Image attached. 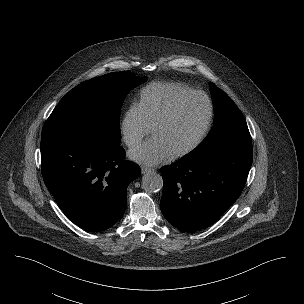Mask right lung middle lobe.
<instances>
[{
    "instance_id": "obj_1",
    "label": "right lung middle lobe",
    "mask_w": 304,
    "mask_h": 304,
    "mask_svg": "<svg viewBox=\"0 0 304 304\" xmlns=\"http://www.w3.org/2000/svg\"><path fill=\"white\" fill-rule=\"evenodd\" d=\"M147 78L130 72L109 73L87 80L57 104L42 130V140L80 134L120 146V109L126 95Z\"/></svg>"
}]
</instances>
